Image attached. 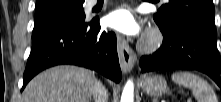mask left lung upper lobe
Returning a JSON list of instances; mask_svg holds the SVG:
<instances>
[{
  "mask_svg": "<svg viewBox=\"0 0 221 102\" xmlns=\"http://www.w3.org/2000/svg\"><path fill=\"white\" fill-rule=\"evenodd\" d=\"M214 15L212 0H169L157 11L154 20L161 30H168L181 21H189L216 33Z\"/></svg>",
  "mask_w": 221,
  "mask_h": 102,
  "instance_id": "1",
  "label": "left lung upper lobe"
}]
</instances>
